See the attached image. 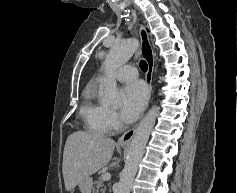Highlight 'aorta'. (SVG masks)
<instances>
[{"instance_id":"762f6f07","label":"aorta","mask_w":237,"mask_h":193,"mask_svg":"<svg viewBox=\"0 0 237 193\" xmlns=\"http://www.w3.org/2000/svg\"><path fill=\"white\" fill-rule=\"evenodd\" d=\"M138 45L137 39L130 38L116 43L111 47L103 63L105 78L102 81L104 91L102 99L105 103L114 104L120 98L121 93L117 88L115 71L132 57ZM158 112L159 108L156 105L152 106L138 126L130 144L125 166L120 174L119 186L116 193H130L134 177L144 154L150 133L155 125Z\"/></svg>"}]
</instances>
